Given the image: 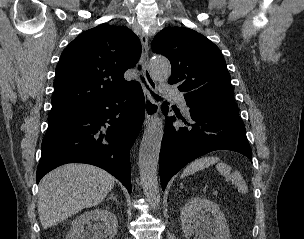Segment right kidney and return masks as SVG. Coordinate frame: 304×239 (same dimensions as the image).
Listing matches in <instances>:
<instances>
[{"label":"right kidney","instance_id":"ca27d5eb","mask_svg":"<svg viewBox=\"0 0 304 239\" xmlns=\"http://www.w3.org/2000/svg\"><path fill=\"white\" fill-rule=\"evenodd\" d=\"M85 225H88L87 231L84 230ZM117 228L118 221L112 212L94 209L73 220L66 239H112L117 234Z\"/></svg>","mask_w":304,"mask_h":239}]
</instances>
